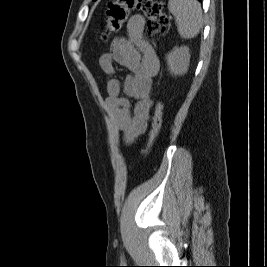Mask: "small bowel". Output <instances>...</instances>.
Returning <instances> with one entry per match:
<instances>
[{"instance_id": "c3829d8e", "label": "small bowel", "mask_w": 267, "mask_h": 267, "mask_svg": "<svg viewBox=\"0 0 267 267\" xmlns=\"http://www.w3.org/2000/svg\"><path fill=\"white\" fill-rule=\"evenodd\" d=\"M115 64L131 71L123 83L111 77L106 84L105 106L114 126L123 133L124 142L131 144L146 131L153 106V78L160 69L159 58L145 37V19L133 15L127 23V37L115 39L110 50L101 55L99 65L108 75L116 73ZM136 103L131 108L127 97Z\"/></svg>"}]
</instances>
